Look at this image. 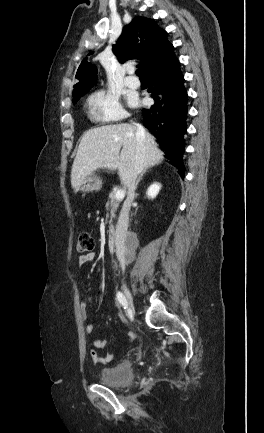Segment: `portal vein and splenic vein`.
I'll return each instance as SVG.
<instances>
[{
  "mask_svg": "<svg viewBox=\"0 0 264 433\" xmlns=\"http://www.w3.org/2000/svg\"><path fill=\"white\" fill-rule=\"evenodd\" d=\"M115 197L118 200H122L125 197V191L123 189H119L115 193Z\"/></svg>",
  "mask_w": 264,
  "mask_h": 433,
  "instance_id": "portal-vein-and-splenic-vein-1",
  "label": "portal vein and splenic vein"
}]
</instances>
